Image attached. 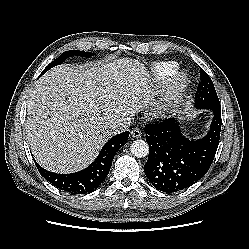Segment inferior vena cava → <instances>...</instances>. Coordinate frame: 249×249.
I'll return each mask as SVG.
<instances>
[{
	"label": "inferior vena cava",
	"mask_w": 249,
	"mask_h": 249,
	"mask_svg": "<svg viewBox=\"0 0 249 249\" xmlns=\"http://www.w3.org/2000/svg\"><path fill=\"white\" fill-rule=\"evenodd\" d=\"M129 117H120L116 122L110 125V131L113 135L125 132L130 126Z\"/></svg>",
	"instance_id": "obj_1"
}]
</instances>
